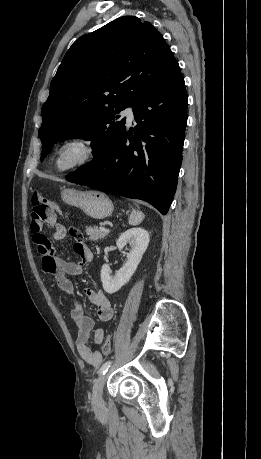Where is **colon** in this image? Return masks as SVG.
I'll return each instance as SVG.
<instances>
[{"mask_svg":"<svg viewBox=\"0 0 261 459\" xmlns=\"http://www.w3.org/2000/svg\"><path fill=\"white\" fill-rule=\"evenodd\" d=\"M31 200L34 204V210L29 229L31 233L34 234L35 238H44L45 231L42 228L53 222L56 216L61 213V209L56 202L42 196L38 191L32 194ZM111 351L112 337L111 335H107L102 345V354L104 356H109Z\"/></svg>","mask_w":261,"mask_h":459,"instance_id":"1","label":"colon"}]
</instances>
